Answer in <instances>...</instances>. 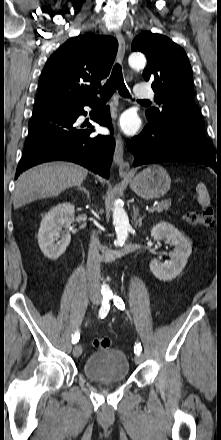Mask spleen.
I'll use <instances>...</instances> for the list:
<instances>
[{
    "label": "spleen",
    "instance_id": "1",
    "mask_svg": "<svg viewBox=\"0 0 221 440\" xmlns=\"http://www.w3.org/2000/svg\"><path fill=\"white\" fill-rule=\"evenodd\" d=\"M196 191L198 193V203L203 207L206 208L210 204V196L207 191V188L204 183H199L196 187Z\"/></svg>",
    "mask_w": 221,
    "mask_h": 440
}]
</instances>
